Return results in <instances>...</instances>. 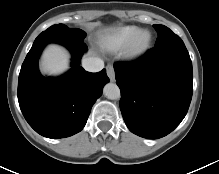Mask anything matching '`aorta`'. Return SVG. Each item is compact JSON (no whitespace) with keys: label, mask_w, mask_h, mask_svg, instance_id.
<instances>
[{"label":"aorta","mask_w":219,"mask_h":174,"mask_svg":"<svg viewBox=\"0 0 219 174\" xmlns=\"http://www.w3.org/2000/svg\"><path fill=\"white\" fill-rule=\"evenodd\" d=\"M104 95L110 100H117L121 93L119 87L114 83H108L103 88Z\"/></svg>","instance_id":"1"}]
</instances>
